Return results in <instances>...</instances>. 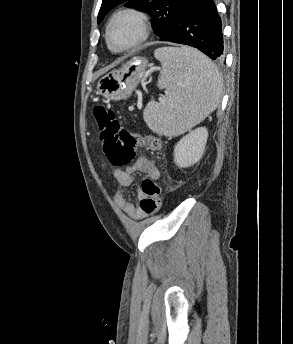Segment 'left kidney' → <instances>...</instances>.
<instances>
[{
	"mask_svg": "<svg viewBox=\"0 0 293 344\" xmlns=\"http://www.w3.org/2000/svg\"><path fill=\"white\" fill-rule=\"evenodd\" d=\"M208 139V130L198 127L183 136L174 148V162L180 168L197 163L203 156Z\"/></svg>",
	"mask_w": 293,
	"mask_h": 344,
	"instance_id": "obj_1",
	"label": "left kidney"
}]
</instances>
